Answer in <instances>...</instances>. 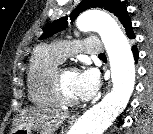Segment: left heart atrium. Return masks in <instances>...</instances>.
Returning a JSON list of instances; mask_svg holds the SVG:
<instances>
[{
	"mask_svg": "<svg viewBox=\"0 0 153 134\" xmlns=\"http://www.w3.org/2000/svg\"><path fill=\"white\" fill-rule=\"evenodd\" d=\"M77 94L81 100H89L98 89V77L94 70L85 69L77 73Z\"/></svg>",
	"mask_w": 153,
	"mask_h": 134,
	"instance_id": "obj_1",
	"label": "left heart atrium"
}]
</instances>
